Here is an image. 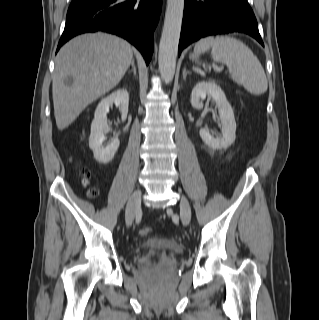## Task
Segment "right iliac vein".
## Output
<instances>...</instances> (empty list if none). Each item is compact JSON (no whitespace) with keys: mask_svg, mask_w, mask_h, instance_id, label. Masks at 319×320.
Here are the masks:
<instances>
[{"mask_svg":"<svg viewBox=\"0 0 319 320\" xmlns=\"http://www.w3.org/2000/svg\"><path fill=\"white\" fill-rule=\"evenodd\" d=\"M140 202L141 191L137 190L131 195L126 206L125 217L128 227H130L134 221L135 215L140 207Z\"/></svg>","mask_w":319,"mask_h":320,"instance_id":"right-iliac-vein-1","label":"right iliac vein"}]
</instances>
